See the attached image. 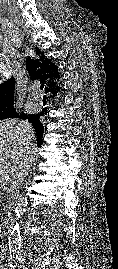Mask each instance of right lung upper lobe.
Instances as JSON below:
<instances>
[{
  "label": "right lung upper lobe",
  "mask_w": 118,
  "mask_h": 269,
  "mask_svg": "<svg viewBox=\"0 0 118 269\" xmlns=\"http://www.w3.org/2000/svg\"><path fill=\"white\" fill-rule=\"evenodd\" d=\"M35 57L33 60L30 57L27 58V69L31 74V79H39L40 83L45 84V91L50 92L49 98H53L60 87L55 86L54 80L59 78L57 66L47 59L43 52L39 48H35ZM56 87V89L54 88ZM15 81L14 78L4 81L0 84V107L5 105H11L14 101ZM46 108L42 109L41 113L30 115L28 119L32 122L33 127L38 137L43 136V124L40 122V117L44 115ZM20 117L27 118L25 114Z\"/></svg>",
  "instance_id": "right-lung-upper-lobe-1"
}]
</instances>
